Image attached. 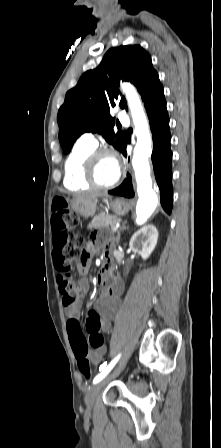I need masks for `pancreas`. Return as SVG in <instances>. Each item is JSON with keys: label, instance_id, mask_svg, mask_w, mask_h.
I'll return each instance as SVG.
<instances>
[{"label": "pancreas", "instance_id": "obj_1", "mask_svg": "<svg viewBox=\"0 0 221 448\" xmlns=\"http://www.w3.org/2000/svg\"><path fill=\"white\" fill-rule=\"evenodd\" d=\"M121 218L112 216L109 214L101 213L94 217L89 225V228H106L113 227L115 224L120 223Z\"/></svg>", "mask_w": 221, "mask_h": 448}]
</instances>
